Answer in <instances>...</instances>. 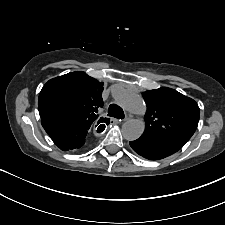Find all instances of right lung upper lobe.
<instances>
[{"instance_id": "obj_1", "label": "right lung upper lobe", "mask_w": 225, "mask_h": 225, "mask_svg": "<svg viewBox=\"0 0 225 225\" xmlns=\"http://www.w3.org/2000/svg\"><path fill=\"white\" fill-rule=\"evenodd\" d=\"M102 91L103 83L84 72L53 78L39 94V114L41 117H60L94 126L100 123L97 112L103 106Z\"/></svg>"}]
</instances>
